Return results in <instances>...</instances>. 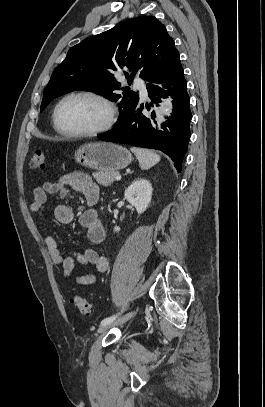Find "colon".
<instances>
[{
  "instance_id": "1",
  "label": "colon",
  "mask_w": 265,
  "mask_h": 407,
  "mask_svg": "<svg viewBox=\"0 0 265 407\" xmlns=\"http://www.w3.org/2000/svg\"><path fill=\"white\" fill-rule=\"evenodd\" d=\"M45 166V152L42 149H35L30 160V167L41 169ZM83 317H89L92 314V303L83 297L75 296L72 300Z\"/></svg>"
}]
</instances>
